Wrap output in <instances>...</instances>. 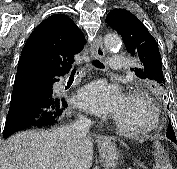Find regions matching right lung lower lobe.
<instances>
[{
    "instance_id": "obj_1",
    "label": "right lung lower lobe",
    "mask_w": 177,
    "mask_h": 169,
    "mask_svg": "<svg viewBox=\"0 0 177 169\" xmlns=\"http://www.w3.org/2000/svg\"><path fill=\"white\" fill-rule=\"evenodd\" d=\"M66 73L17 70L3 137L31 127L53 126L66 113V99L53 91V84Z\"/></svg>"
}]
</instances>
